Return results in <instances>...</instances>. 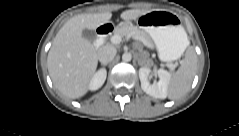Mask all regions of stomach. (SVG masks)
I'll return each instance as SVG.
<instances>
[{
  "label": "stomach",
  "mask_w": 239,
  "mask_h": 136,
  "mask_svg": "<svg viewBox=\"0 0 239 136\" xmlns=\"http://www.w3.org/2000/svg\"><path fill=\"white\" fill-rule=\"evenodd\" d=\"M137 23L155 44L160 60L174 61L183 54L187 47V34L175 14L150 11L138 17Z\"/></svg>",
  "instance_id": "stomach-1"
}]
</instances>
